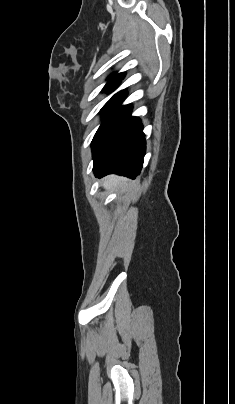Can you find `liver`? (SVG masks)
<instances>
[{"label": "liver", "instance_id": "obj_1", "mask_svg": "<svg viewBox=\"0 0 235 404\" xmlns=\"http://www.w3.org/2000/svg\"><path fill=\"white\" fill-rule=\"evenodd\" d=\"M103 186L107 190H113L115 188H120L123 191L125 189V187L127 186V183H126L125 179L113 175V176H108L104 179Z\"/></svg>", "mask_w": 235, "mask_h": 404}]
</instances>
